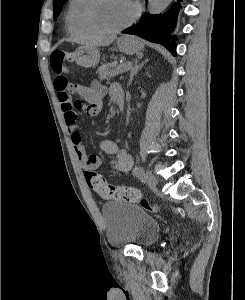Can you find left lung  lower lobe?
Masks as SVG:
<instances>
[{
    "label": "left lung lower lobe",
    "instance_id": "obj_1",
    "mask_svg": "<svg viewBox=\"0 0 245 300\" xmlns=\"http://www.w3.org/2000/svg\"><path fill=\"white\" fill-rule=\"evenodd\" d=\"M181 0L175 2L164 14H144L139 23L122 31L124 34L137 35L150 42L164 45L174 56L177 40L174 33L177 29V19L181 9Z\"/></svg>",
    "mask_w": 245,
    "mask_h": 300
}]
</instances>
